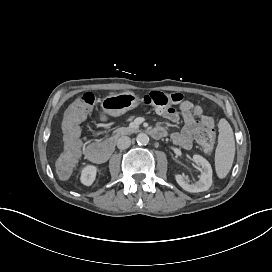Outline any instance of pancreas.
<instances>
[{
  "label": "pancreas",
  "instance_id": "1",
  "mask_svg": "<svg viewBox=\"0 0 272 272\" xmlns=\"http://www.w3.org/2000/svg\"><path fill=\"white\" fill-rule=\"evenodd\" d=\"M138 131V128L121 127L113 131L112 139L117 140L122 135L132 134Z\"/></svg>",
  "mask_w": 272,
  "mask_h": 272
}]
</instances>
